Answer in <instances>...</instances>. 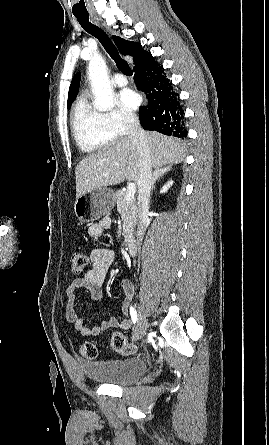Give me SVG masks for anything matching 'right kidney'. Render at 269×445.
<instances>
[{"label":"right kidney","instance_id":"ca27d5eb","mask_svg":"<svg viewBox=\"0 0 269 445\" xmlns=\"http://www.w3.org/2000/svg\"><path fill=\"white\" fill-rule=\"evenodd\" d=\"M173 181L170 180L168 181L161 189H160V193H165L168 191V189L172 186Z\"/></svg>","mask_w":269,"mask_h":445}]
</instances>
